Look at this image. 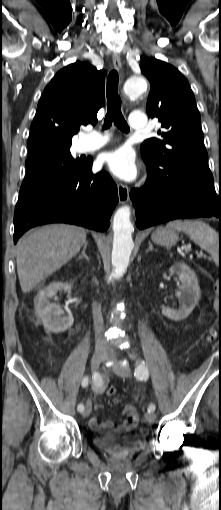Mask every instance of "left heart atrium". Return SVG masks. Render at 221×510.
I'll return each instance as SVG.
<instances>
[{"label": "left heart atrium", "instance_id": "39dd6f15", "mask_svg": "<svg viewBox=\"0 0 221 510\" xmlns=\"http://www.w3.org/2000/svg\"><path fill=\"white\" fill-rule=\"evenodd\" d=\"M101 163L105 164L117 177L130 180L135 176L136 167L133 155L128 149H119L102 157Z\"/></svg>", "mask_w": 221, "mask_h": 510}]
</instances>
